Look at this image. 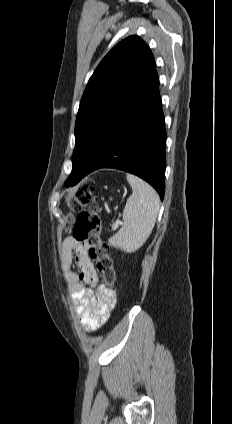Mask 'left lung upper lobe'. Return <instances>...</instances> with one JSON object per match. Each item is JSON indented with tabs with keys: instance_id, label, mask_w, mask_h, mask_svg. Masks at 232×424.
I'll return each instance as SVG.
<instances>
[{
	"instance_id": "obj_1",
	"label": "left lung upper lobe",
	"mask_w": 232,
	"mask_h": 424,
	"mask_svg": "<svg viewBox=\"0 0 232 424\" xmlns=\"http://www.w3.org/2000/svg\"><path fill=\"white\" fill-rule=\"evenodd\" d=\"M155 67L154 56L138 36L122 40L103 58L80 101L71 178L82 176L105 130Z\"/></svg>"
}]
</instances>
